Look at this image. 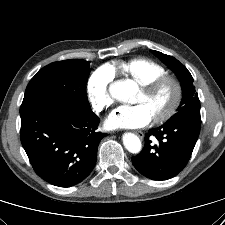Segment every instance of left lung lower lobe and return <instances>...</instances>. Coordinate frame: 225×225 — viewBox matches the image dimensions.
I'll list each match as a JSON object with an SVG mask.
<instances>
[{
  "mask_svg": "<svg viewBox=\"0 0 225 225\" xmlns=\"http://www.w3.org/2000/svg\"><path fill=\"white\" fill-rule=\"evenodd\" d=\"M200 120L167 122L145 134V146L132 157L134 167L145 177L167 180L176 176L189 161L200 132ZM151 136L158 140L152 145Z\"/></svg>",
  "mask_w": 225,
  "mask_h": 225,
  "instance_id": "0a47b994",
  "label": "left lung lower lobe"
}]
</instances>
